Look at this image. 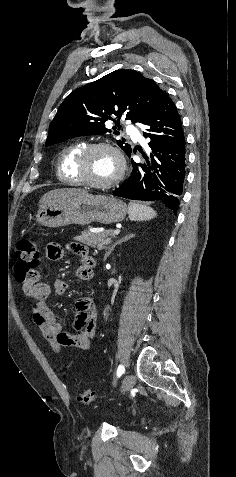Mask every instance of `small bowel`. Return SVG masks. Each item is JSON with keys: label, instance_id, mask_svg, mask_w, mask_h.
I'll return each mask as SVG.
<instances>
[{"label": "small bowel", "instance_id": "small-bowel-1", "mask_svg": "<svg viewBox=\"0 0 236 477\" xmlns=\"http://www.w3.org/2000/svg\"><path fill=\"white\" fill-rule=\"evenodd\" d=\"M67 254L77 255L81 263L77 269V276L82 281L91 280L94 274L93 258L88 249L80 244L71 243L66 248L58 243H50L47 246V256L50 260L58 261ZM53 292L61 297L65 294L68 284L61 278L53 281ZM24 292L33 298L31 305L32 319L41 335L51 346V354H58L63 348L89 349L96 332V308L90 296L79 298L76 303V317L73 330H63L52 310L47 304V298L51 293V287L47 283L39 282L34 291Z\"/></svg>", "mask_w": 236, "mask_h": 477}]
</instances>
